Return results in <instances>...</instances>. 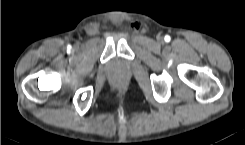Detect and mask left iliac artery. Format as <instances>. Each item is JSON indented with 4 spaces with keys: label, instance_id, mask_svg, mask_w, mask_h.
Listing matches in <instances>:
<instances>
[{
    "label": "left iliac artery",
    "instance_id": "44dca946",
    "mask_svg": "<svg viewBox=\"0 0 245 145\" xmlns=\"http://www.w3.org/2000/svg\"><path fill=\"white\" fill-rule=\"evenodd\" d=\"M164 39H165L166 42H169L170 41V36L166 35Z\"/></svg>",
    "mask_w": 245,
    "mask_h": 145
}]
</instances>
